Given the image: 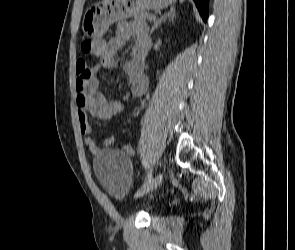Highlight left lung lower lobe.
I'll return each instance as SVG.
<instances>
[{
	"label": "left lung lower lobe",
	"mask_w": 295,
	"mask_h": 250,
	"mask_svg": "<svg viewBox=\"0 0 295 250\" xmlns=\"http://www.w3.org/2000/svg\"><path fill=\"white\" fill-rule=\"evenodd\" d=\"M200 15L202 16L203 20L206 22L208 17V0H194Z\"/></svg>",
	"instance_id": "obj_1"
}]
</instances>
